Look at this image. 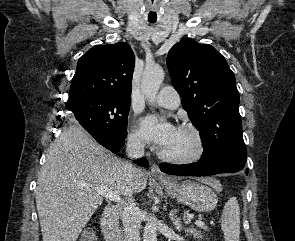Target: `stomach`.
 Returning a JSON list of instances; mask_svg holds the SVG:
<instances>
[{"label":"stomach","instance_id":"1","mask_svg":"<svg viewBox=\"0 0 295 241\" xmlns=\"http://www.w3.org/2000/svg\"><path fill=\"white\" fill-rule=\"evenodd\" d=\"M163 185L167 195L199 212L215 209L218 199L214 190L221 191L219 182L208 187L203 182L174 179L163 182Z\"/></svg>","mask_w":295,"mask_h":241}]
</instances>
